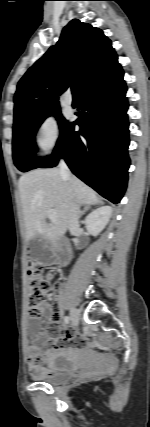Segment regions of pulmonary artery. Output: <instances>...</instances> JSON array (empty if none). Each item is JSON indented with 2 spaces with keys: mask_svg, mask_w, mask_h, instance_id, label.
I'll return each mask as SVG.
<instances>
[{
  "mask_svg": "<svg viewBox=\"0 0 150 427\" xmlns=\"http://www.w3.org/2000/svg\"><path fill=\"white\" fill-rule=\"evenodd\" d=\"M64 102H65V104H67V105H71V104L73 103V98H72V96H71V94H70V93H67V94L64 96Z\"/></svg>",
  "mask_w": 150,
  "mask_h": 427,
  "instance_id": "pulmonary-artery-1",
  "label": "pulmonary artery"
}]
</instances>
